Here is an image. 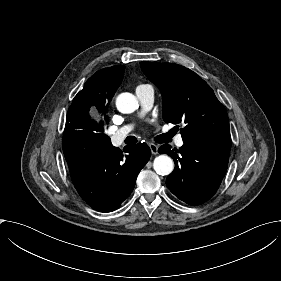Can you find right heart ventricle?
Masks as SVG:
<instances>
[{
  "label": "right heart ventricle",
  "mask_w": 281,
  "mask_h": 281,
  "mask_svg": "<svg viewBox=\"0 0 281 281\" xmlns=\"http://www.w3.org/2000/svg\"><path fill=\"white\" fill-rule=\"evenodd\" d=\"M139 87H148V86H146V85H140V86L137 87V89H138Z\"/></svg>",
  "instance_id": "obj_1"
}]
</instances>
